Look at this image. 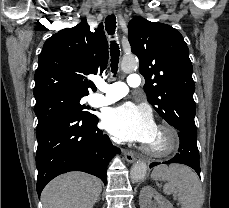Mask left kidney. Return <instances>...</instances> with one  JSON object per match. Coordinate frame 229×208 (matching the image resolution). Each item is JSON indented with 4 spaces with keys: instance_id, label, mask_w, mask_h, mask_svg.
Returning <instances> with one entry per match:
<instances>
[{
    "instance_id": "1",
    "label": "left kidney",
    "mask_w": 229,
    "mask_h": 208,
    "mask_svg": "<svg viewBox=\"0 0 229 208\" xmlns=\"http://www.w3.org/2000/svg\"><path fill=\"white\" fill-rule=\"evenodd\" d=\"M154 198L155 202H153ZM140 208H172L170 202L160 196L151 186H144L139 196Z\"/></svg>"
}]
</instances>
